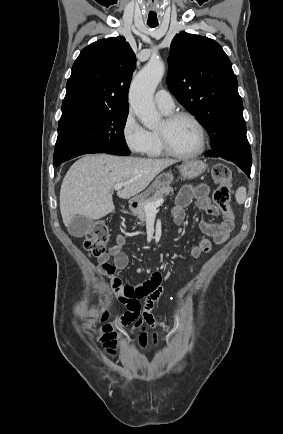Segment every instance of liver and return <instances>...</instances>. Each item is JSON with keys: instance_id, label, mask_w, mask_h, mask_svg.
I'll return each instance as SVG.
<instances>
[{"instance_id": "6515ba94", "label": "liver", "mask_w": 283, "mask_h": 434, "mask_svg": "<svg viewBox=\"0 0 283 434\" xmlns=\"http://www.w3.org/2000/svg\"><path fill=\"white\" fill-rule=\"evenodd\" d=\"M174 160L85 155L66 173L60 190V211L66 227L76 216L100 219L114 210L112 190L124 183L118 197L129 199L142 192Z\"/></svg>"}]
</instances>
